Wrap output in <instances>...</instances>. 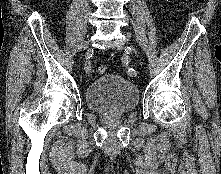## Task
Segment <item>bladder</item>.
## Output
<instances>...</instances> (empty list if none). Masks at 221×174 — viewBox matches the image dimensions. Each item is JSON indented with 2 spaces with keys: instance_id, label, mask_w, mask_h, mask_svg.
<instances>
[{
  "instance_id": "1",
  "label": "bladder",
  "mask_w": 221,
  "mask_h": 174,
  "mask_svg": "<svg viewBox=\"0 0 221 174\" xmlns=\"http://www.w3.org/2000/svg\"><path fill=\"white\" fill-rule=\"evenodd\" d=\"M88 107L100 113H128L139 104L137 86L123 76L107 73L89 84L85 93Z\"/></svg>"
}]
</instances>
